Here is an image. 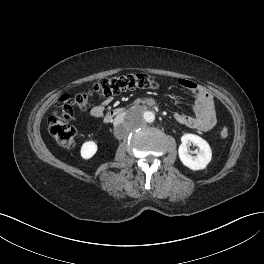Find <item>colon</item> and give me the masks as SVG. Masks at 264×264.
<instances>
[{"label": "colon", "mask_w": 264, "mask_h": 264, "mask_svg": "<svg viewBox=\"0 0 264 264\" xmlns=\"http://www.w3.org/2000/svg\"><path fill=\"white\" fill-rule=\"evenodd\" d=\"M157 80L148 74H127L104 78L97 82L90 90L74 97L63 95L60 98L57 109L49 118L48 129L50 135L58 144L65 148H71L75 144L76 130L71 125L74 113L87 110L96 98H108L133 89H155ZM222 138H227L229 130L222 127Z\"/></svg>", "instance_id": "obj_1"}]
</instances>
